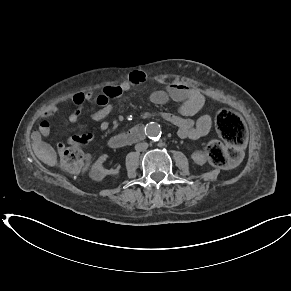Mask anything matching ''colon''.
<instances>
[{"label": "colon", "mask_w": 291, "mask_h": 291, "mask_svg": "<svg viewBox=\"0 0 291 291\" xmlns=\"http://www.w3.org/2000/svg\"><path fill=\"white\" fill-rule=\"evenodd\" d=\"M216 128L225 144L218 140L210 141L207 155L212 164L227 167L234 164L240 156V148L246 140V127L237 113L222 109L216 115ZM90 161L91 156L84 150V143L81 141H71L61 154L63 167L72 173L84 172Z\"/></svg>", "instance_id": "5ec220e1"}]
</instances>
